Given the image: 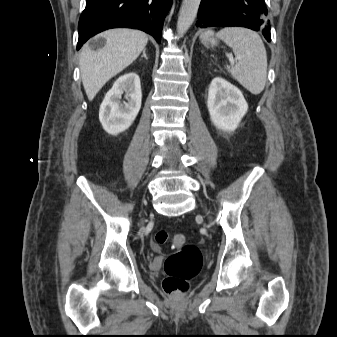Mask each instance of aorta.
Masks as SVG:
<instances>
[{"mask_svg":"<svg viewBox=\"0 0 337 337\" xmlns=\"http://www.w3.org/2000/svg\"><path fill=\"white\" fill-rule=\"evenodd\" d=\"M200 2L201 0H183L177 21L179 35L185 34L194 22Z\"/></svg>","mask_w":337,"mask_h":337,"instance_id":"762f6f07","label":"aorta"}]
</instances>
